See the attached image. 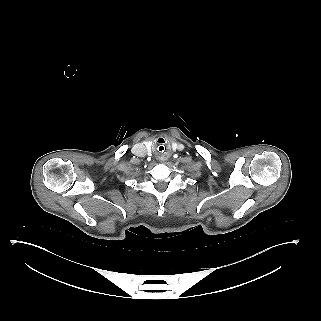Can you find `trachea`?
Listing matches in <instances>:
<instances>
[{"mask_svg": "<svg viewBox=\"0 0 321 321\" xmlns=\"http://www.w3.org/2000/svg\"><path fill=\"white\" fill-rule=\"evenodd\" d=\"M152 153L155 158H158V159L164 158L167 153L166 146L161 143L155 144L153 146Z\"/></svg>", "mask_w": 321, "mask_h": 321, "instance_id": "1", "label": "trachea"}]
</instances>
